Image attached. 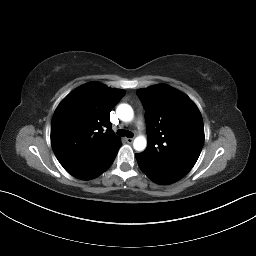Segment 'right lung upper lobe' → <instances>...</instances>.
Listing matches in <instances>:
<instances>
[{
  "mask_svg": "<svg viewBox=\"0 0 256 256\" xmlns=\"http://www.w3.org/2000/svg\"><path fill=\"white\" fill-rule=\"evenodd\" d=\"M124 95V90L90 82L61 101L51 123V145L65 169L121 146L109 114Z\"/></svg>",
  "mask_w": 256,
  "mask_h": 256,
  "instance_id": "obj_1",
  "label": "right lung upper lobe"
}]
</instances>
